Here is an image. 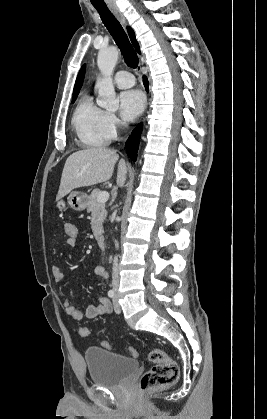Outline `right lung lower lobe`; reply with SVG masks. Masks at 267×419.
Instances as JSON below:
<instances>
[{"mask_svg": "<svg viewBox=\"0 0 267 419\" xmlns=\"http://www.w3.org/2000/svg\"><path fill=\"white\" fill-rule=\"evenodd\" d=\"M143 83H144L145 88L148 90V81L146 77H144ZM141 131H142V123L136 126V128L132 131L131 135L129 136L126 142L127 155L133 161H135L137 157L136 153L139 147Z\"/></svg>", "mask_w": 267, "mask_h": 419, "instance_id": "obj_1", "label": "right lung lower lobe"}]
</instances>
